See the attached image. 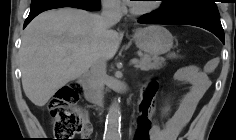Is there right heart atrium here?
<instances>
[{
	"instance_id": "1",
	"label": "right heart atrium",
	"mask_w": 236,
	"mask_h": 140,
	"mask_svg": "<svg viewBox=\"0 0 236 140\" xmlns=\"http://www.w3.org/2000/svg\"><path fill=\"white\" fill-rule=\"evenodd\" d=\"M102 3L105 9L111 13H122L124 10L119 0H103Z\"/></svg>"
}]
</instances>
